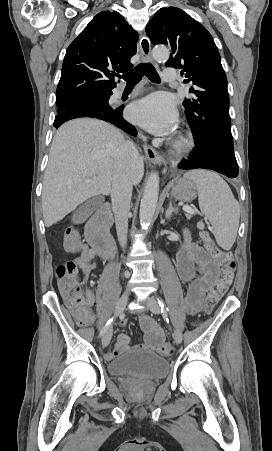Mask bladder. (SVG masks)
Instances as JSON below:
<instances>
[{
    "label": "bladder",
    "instance_id": "1",
    "mask_svg": "<svg viewBox=\"0 0 272 451\" xmlns=\"http://www.w3.org/2000/svg\"><path fill=\"white\" fill-rule=\"evenodd\" d=\"M169 371V361L158 353H132L110 360L107 372L111 376H135L137 378H163Z\"/></svg>",
    "mask_w": 272,
    "mask_h": 451
}]
</instances>
